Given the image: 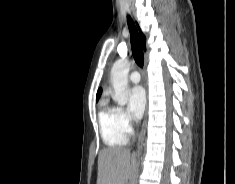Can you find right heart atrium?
Returning a JSON list of instances; mask_svg holds the SVG:
<instances>
[{
	"label": "right heart atrium",
	"mask_w": 235,
	"mask_h": 184,
	"mask_svg": "<svg viewBox=\"0 0 235 184\" xmlns=\"http://www.w3.org/2000/svg\"><path fill=\"white\" fill-rule=\"evenodd\" d=\"M116 112L121 128L127 135H131L134 131V127L128 111L124 108H116Z\"/></svg>",
	"instance_id": "obj_1"
}]
</instances>
